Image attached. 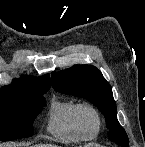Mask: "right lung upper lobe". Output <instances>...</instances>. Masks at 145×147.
<instances>
[{
  "label": "right lung upper lobe",
  "instance_id": "obj_1",
  "mask_svg": "<svg viewBox=\"0 0 145 147\" xmlns=\"http://www.w3.org/2000/svg\"><path fill=\"white\" fill-rule=\"evenodd\" d=\"M50 85V77L48 74L39 78L26 76L20 79H14L12 84L2 87L0 89V95L27 89H49Z\"/></svg>",
  "mask_w": 145,
  "mask_h": 147
}]
</instances>
